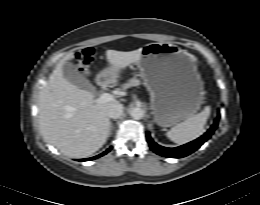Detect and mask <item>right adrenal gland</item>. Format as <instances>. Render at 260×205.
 Returning a JSON list of instances; mask_svg holds the SVG:
<instances>
[{
	"mask_svg": "<svg viewBox=\"0 0 260 205\" xmlns=\"http://www.w3.org/2000/svg\"><path fill=\"white\" fill-rule=\"evenodd\" d=\"M112 129H113V124H112V122H110L108 137H110L112 135Z\"/></svg>",
	"mask_w": 260,
	"mask_h": 205,
	"instance_id": "1",
	"label": "right adrenal gland"
}]
</instances>
